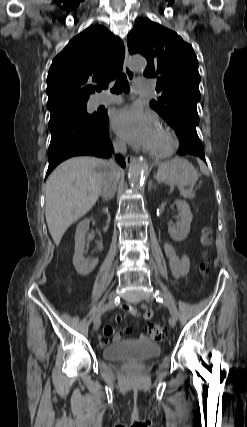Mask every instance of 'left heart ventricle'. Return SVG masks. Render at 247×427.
Returning <instances> with one entry per match:
<instances>
[{
    "label": "left heart ventricle",
    "mask_w": 247,
    "mask_h": 427,
    "mask_svg": "<svg viewBox=\"0 0 247 427\" xmlns=\"http://www.w3.org/2000/svg\"><path fill=\"white\" fill-rule=\"evenodd\" d=\"M166 142V137L161 130H157L155 138L150 148H159Z\"/></svg>",
    "instance_id": "obj_1"
}]
</instances>
